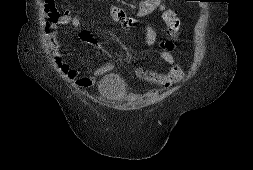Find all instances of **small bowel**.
Wrapping results in <instances>:
<instances>
[{"instance_id": "c3829d8e", "label": "small bowel", "mask_w": 253, "mask_h": 170, "mask_svg": "<svg viewBox=\"0 0 253 170\" xmlns=\"http://www.w3.org/2000/svg\"><path fill=\"white\" fill-rule=\"evenodd\" d=\"M45 7L48 12L50 4L45 1ZM155 11H159L162 14L163 20L171 33H176L180 26V20L176 16L174 10L167 7V0H144L141 2L134 13V16L129 15L124 9L118 6H112L110 8L111 19L120 24L124 29H128L135 22V17H142L149 15ZM178 21L179 25L174 26V21ZM60 25H71L72 27L78 28L82 25V18L79 15L63 14L51 27L48 33V38L51 47L55 51V57L57 65L60 71L66 75L74 84L78 87L87 88L95 84L96 78L109 72L112 69V64H105L97 68L94 73L90 76H85L82 72L74 68L69 62H67L60 51V45L57 40V27ZM79 37L82 41L88 44H94V38L88 31H81ZM157 40L156 30L153 27H148L145 35L144 42L146 45L151 46ZM161 57L163 61L170 66V70L167 73H159L155 71H148L141 68L135 70L136 75L147 82L160 84L163 86H171L172 84L180 81L184 77V71L182 67L176 63L175 58L172 54L174 50V42L171 39H165L161 41Z\"/></svg>"}]
</instances>
